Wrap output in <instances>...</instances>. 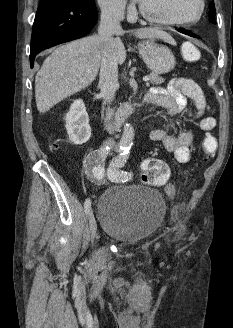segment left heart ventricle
<instances>
[{"instance_id":"1","label":"left heart ventricle","mask_w":233,"mask_h":328,"mask_svg":"<svg viewBox=\"0 0 233 328\" xmlns=\"http://www.w3.org/2000/svg\"><path fill=\"white\" fill-rule=\"evenodd\" d=\"M140 3L148 13L168 20H191L199 10L198 0H140Z\"/></svg>"}]
</instances>
